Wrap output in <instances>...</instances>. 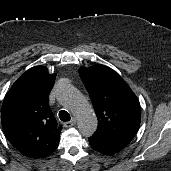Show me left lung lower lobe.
I'll return each instance as SVG.
<instances>
[{
    "mask_svg": "<svg viewBox=\"0 0 171 171\" xmlns=\"http://www.w3.org/2000/svg\"><path fill=\"white\" fill-rule=\"evenodd\" d=\"M89 143L94 150H96L100 153H103L105 155H113L120 151L119 149H117L115 147L104 144L96 139L91 138V137L89 138Z\"/></svg>",
    "mask_w": 171,
    "mask_h": 171,
    "instance_id": "1",
    "label": "left lung lower lobe"
}]
</instances>
